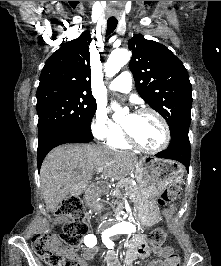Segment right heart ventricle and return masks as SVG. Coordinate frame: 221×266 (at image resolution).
I'll use <instances>...</instances> for the list:
<instances>
[{"label": "right heart ventricle", "mask_w": 221, "mask_h": 266, "mask_svg": "<svg viewBox=\"0 0 221 266\" xmlns=\"http://www.w3.org/2000/svg\"><path fill=\"white\" fill-rule=\"evenodd\" d=\"M107 144L109 147L114 148V149H129L130 148V145L127 143V141L124 138L122 130L118 135L109 139L107 141Z\"/></svg>", "instance_id": "1"}]
</instances>
